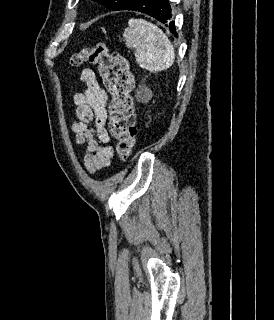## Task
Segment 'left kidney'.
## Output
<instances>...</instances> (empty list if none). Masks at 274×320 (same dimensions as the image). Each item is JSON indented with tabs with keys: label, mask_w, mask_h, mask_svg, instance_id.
I'll use <instances>...</instances> for the list:
<instances>
[{
	"label": "left kidney",
	"mask_w": 274,
	"mask_h": 320,
	"mask_svg": "<svg viewBox=\"0 0 274 320\" xmlns=\"http://www.w3.org/2000/svg\"><path fill=\"white\" fill-rule=\"evenodd\" d=\"M143 94H144V96H143L142 100H144V102H148V100H150V98H152V94H151L150 90H148V88H145Z\"/></svg>",
	"instance_id": "left-kidney-1"
}]
</instances>
